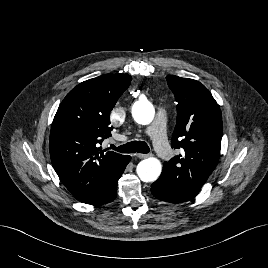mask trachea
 <instances>
[{"instance_id": "1", "label": "trachea", "mask_w": 268, "mask_h": 268, "mask_svg": "<svg viewBox=\"0 0 268 268\" xmlns=\"http://www.w3.org/2000/svg\"><path fill=\"white\" fill-rule=\"evenodd\" d=\"M110 148L120 153H135V152H139L142 154L149 153V146L144 141H131L119 147H116L113 144H111Z\"/></svg>"}]
</instances>
